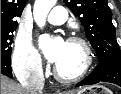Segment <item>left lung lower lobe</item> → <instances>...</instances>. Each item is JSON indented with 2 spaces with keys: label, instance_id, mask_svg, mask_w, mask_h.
Returning a JSON list of instances; mask_svg holds the SVG:
<instances>
[{
  "label": "left lung lower lobe",
  "instance_id": "0a47b994",
  "mask_svg": "<svg viewBox=\"0 0 121 94\" xmlns=\"http://www.w3.org/2000/svg\"><path fill=\"white\" fill-rule=\"evenodd\" d=\"M99 82H110L121 86V60L100 62L86 78L76 85V87L92 85Z\"/></svg>",
  "mask_w": 121,
  "mask_h": 94
}]
</instances>
